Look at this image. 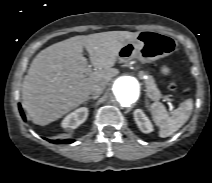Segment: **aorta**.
<instances>
[{"label":"aorta","instance_id":"obj_1","mask_svg":"<svg viewBox=\"0 0 212 183\" xmlns=\"http://www.w3.org/2000/svg\"><path fill=\"white\" fill-rule=\"evenodd\" d=\"M112 92L116 104L129 107L139 99L141 86L134 77L121 76L115 80Z\"/></svg>","mask_w":212,"mask_h":183}]
</instances>
